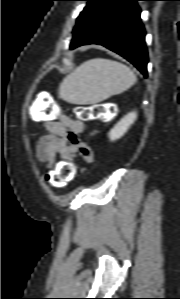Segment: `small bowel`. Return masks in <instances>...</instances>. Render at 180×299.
<instances>
[{
	"label": "small bowel",
	"instance_id": "obj_1",
	"mask_svg": "<svg viewBox=\"0 0 180 299\" xmlns=\"http://www.w3.org/2000/svg\"><path fill=\"white\" fill-rule=\"evenodd\" d=\"M44 126L46 134L36 145V158L40 164L51 167L57 156L64 161H75L80 157L85 162H93L92 149L79 138L85 129L82 121L60 114L44 120Z\"/></svg>",
	"mask_w": 180,
	"mask_h": 299
}]
</instances>
